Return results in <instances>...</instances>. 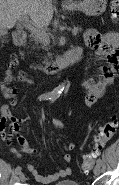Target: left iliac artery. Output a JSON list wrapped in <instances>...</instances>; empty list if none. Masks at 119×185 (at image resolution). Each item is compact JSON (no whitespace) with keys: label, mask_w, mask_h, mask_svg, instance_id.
<instances>
[{"label":"left iliac artery","mask_w":119,"mask_h":185,"mask_svg":"<svg viewBox=\"0 0 119 185\" xmlns=\"http://www.w3.org/2000/svg\"><path fill=\"white\" fill-rule=\"evenodd\" d=\"M56 98L51 99V102H54ZM103 161L99 158L97 159V164L102 165Z\"/></svg>","instance_id":"obj_1"}]
</instances>
